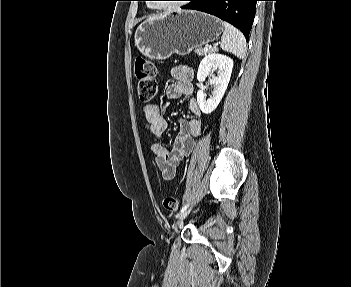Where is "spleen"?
<instances>
[{
    "label": "spleen",
    "instance_id": "3e777b00",
    "mask_svg": "<svg viewBox=\"0 0 351 287\" xmlns=\"http://www.w3.org/2000/svg\"><path fill=\"white\" fill-rule=\"evenodd\" d=\"M222 25L225 30L221 37L220 47L222 50L243 59L246 53V40L244 35L227 22H222Z\"/></svg>",
    "mask_w": 351,
    "mask_h": 287
}]
</instances>
